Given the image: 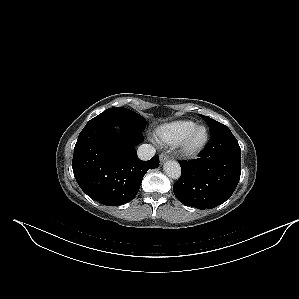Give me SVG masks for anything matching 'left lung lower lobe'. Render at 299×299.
<instances>
[{"mask_svg": "<svg viewBox=\"0 0 299 299\" xmlns=\"http://www.w3.org/2000/svg\"><path fill=\"white\" fill-rule=\"evenodd\" d=\"M180 179L174 184L176 198L187 206L211 209L228 200L241 174V149L227 126L212 133L199 158L180 162Z\"/></svg>", "mask_w": 299, "mask_h": 299, "instance_id": "left-lung-lower-lobe-1", "label": "left lung lower lobe"}]
</instances>
